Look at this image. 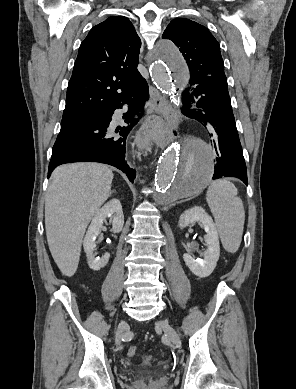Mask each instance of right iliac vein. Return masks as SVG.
I'll list each match as a JSON object with an SVG mask.
<instances>
[{"label": "right iliac vein", "mask_w": 296, "mask_h": 389, "mask_svg": "<svg viewBox=\"0 0 296 389\" xmlns=\"http://www.w3.org/2000/svg\"><path fill=\"white\" fill-rule=\"evenodd\" d=\"M125 328H126V322L121 321V323L119 324V327H118V333H117V338H116L117 344H119L121 342L122 334H123V331L125 330Z\"/></svg>", "instance_id": "obj_1"}]
</instances>
